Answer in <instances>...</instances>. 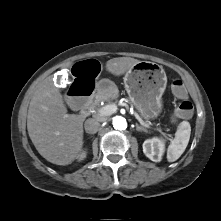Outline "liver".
Segmentation results:
<instances>
[{"instance_id": "1", "label": "liver", "mask_w": 221, "mask_h": 221, "mask_svg": "<svg viewBox=\"0 0 221 221\" xmlns=\"http://www.w3.org/2000/svg\"><path fill=\"white\" fill-rule=\"evenodd\" d=\"M140 62L131 57L113 58L106 62V70L120 76ZM83 115L67 114L59 89L46 78L30 101L27 130L38 153L56 165H69L83 147Z\"/></svg>"}]
</instances>
